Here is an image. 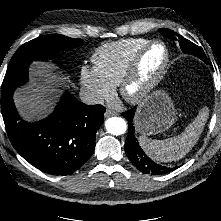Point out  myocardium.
<instances>
[{
	"label": "myocardium",
	"mask_w": 221,
	"mask_h": 221,
	"mask_svg": "<svg viewBox=\"0 0 221 221\" xmlns=\"http://www.w3.org/2000/svg\"><path fill=\"white\" fill-rule=\"evenodd\" d=\"M160 45L164 50V59L154 75V77L148 81L145 85H143L140 90L136 93H131L129 91L130 86L137 80L139 69L141 62L146 55V53L154 46ZM170 62V52L167 45L159 40L149 41L145 44L142 48H140L136 54L131 59L130 63L128 64L124 74L122 75L118 87L121 96L126 100L128 103L131 104H139L143 102L149 95L156 89V87L162 81L168 65Z\"/></svg>",
	"instance_id": "1"
}]
</instances>
